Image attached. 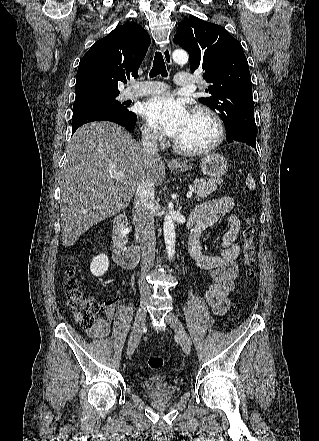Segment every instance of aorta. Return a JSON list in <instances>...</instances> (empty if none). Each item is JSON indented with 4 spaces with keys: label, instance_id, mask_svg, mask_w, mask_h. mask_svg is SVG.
Wrapping results in <instances>:
<instances>
[{
    "label": "aorta",
    "instance_id": "1",
    "mask_svg": "<svg viewBox=\"0 0 319 441\" xmlns=\"http://www.w3.org/2000/svg\"><path fill=\"white\" fill-rule=\"evenodd\" d=\"M172 58L178 64H185L188 62V53L184 49H178L173 52ZM163 231L168 259L172 260L175 254L176 234L175 224L170 215L165 216Z\"/></svg>",
    "mask_w": 319,
    "mask_h": 441
}]
</instances>
